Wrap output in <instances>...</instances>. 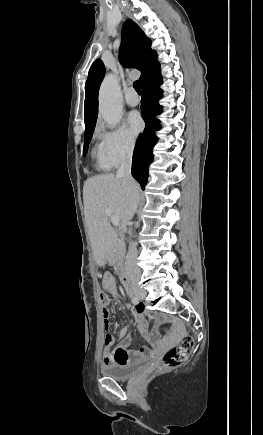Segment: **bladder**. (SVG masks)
<instances>
[{"label":"bladder","instance_id":"obj_1","mask_svg":"<svg viewBox=\"0 0 263 435\" xmlns=\"http://www.w3.org/2000/svg\"><path fill=\"white\" fill-rule=\"evenodd\" d=\"M147 362V360H140L130 364L124 365H109L102 369L103 375L110 377L114 380L124 381L134 376Z\"/></svg>","mask_w":263,"mask_h":435}]
</instances>
